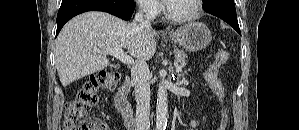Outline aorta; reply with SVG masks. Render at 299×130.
<instances>
[{
	"label": "aorta",
	"mask_w": 299,
	"mask_h": 130,
	"mask_svg": "<svg viewBox=\"0 0 299 130\" xmlns=\"http://www.w3.org/2000/svg\"><path fill=\"white\" fill-rule=\"evenodd\" d=\"M168 102L164 86L160 85L157 92L156 130H165L167 126Z\"/></svg>",
	"instance_id": "obj_1"
}]
</instances>
